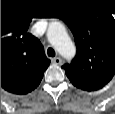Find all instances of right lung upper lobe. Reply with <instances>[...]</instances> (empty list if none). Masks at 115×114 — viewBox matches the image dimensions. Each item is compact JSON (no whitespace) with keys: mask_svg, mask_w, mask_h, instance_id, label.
I'll return each instance as SVG.
<instances>
[{"mask_svg":"<svg viewBox=\"0 0 115 114\" xmlns=\"http://www.w3.org/2000/svg\"><path fill=\"white\" fill-rule=\"evenodd\" d=\"M29 24L17 16L1 18V87L14 94L34 90L50 64L41 42L27 32Z\"/></svg>","mask_w":115,"mask_h":114,"instance_id":"cb5924a9","label":"right lung upper lobe"}]
</instances>
